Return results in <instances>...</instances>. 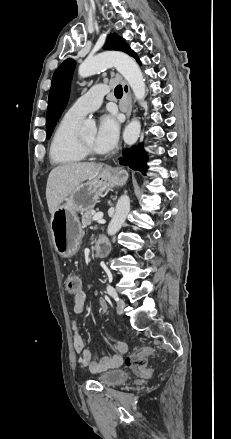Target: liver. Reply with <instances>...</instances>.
<instances>
[{
  "mask_svg": "<svg viewBox=\"0 0 231 439\" xmlns=\"http://www.w3.org/2000/svg\"><path fill=\"white\" fill-rule=\"evenodd\" d=\"M102 168V164L96 163H68L52 169L46 186L50 214L55 212L75 187L96 177Z\"/></svg>",
  "mask_w": 231,
  "mask_h": 439,
  "instance_id": "1",
  "label": "liver"
}]
</instances>
